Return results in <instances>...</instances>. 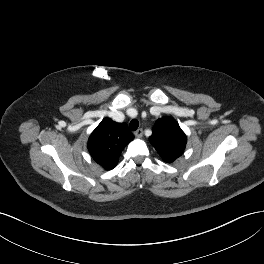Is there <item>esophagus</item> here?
I'll return each instance as SVG.
<instances>
[{
	"instance_id": "esophagus-1",
	"label": "esophagus",
	"mask_w": 264,
	"mask_h": 264,
	"mask_svg": "<svg viewBox=\"0 0 264 264\" xmlns=\"http://www.w3.org/2000/svg\"><path fill=\"white\" fill-rule=\"evenodd\" d=\"M134 135L137 137V138H141L143 136V130L142 129H137L135 132H134Z\"/></svg>"
}]
</instances>
